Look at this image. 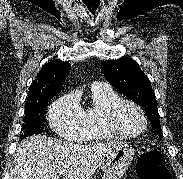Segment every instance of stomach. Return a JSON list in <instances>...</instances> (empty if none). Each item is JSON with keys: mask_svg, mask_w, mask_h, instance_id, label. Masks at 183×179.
I'll use <instances>...</instances> for the list:
<instances>
[{"mask_svg": "<svg viewBox=\"0 0 183 179\" xmlns=\"http://www.w3.org/2000/svg\"><path fill=\"white\" fill-rule=\"evenodd\" d=\"M135 155L134 148L126 142L112 145L100 162L102 179H121Z\"/></svg>", "mask_w": 183, "mask_h": 179, "instance_id": "obj_1", "label": "stomach"}]
</instances>
